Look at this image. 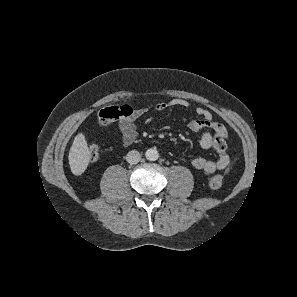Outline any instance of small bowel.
<instances>
[{
	"label": "small bowel",
	"mask_w": 297,
	"mask_h": 297,
	"mask_svg": "<svg viewBox=\"0 0 297 297\" xmlns=\"http://www.w3.org/2000/svg\"><path fill=\"white\" fill-rule=\"evenodd\" d=\"M190 103L187 100L174 98L168 102H159L155 108L158 111L166 110L170 107L187 108ZM195 112L198 118L192 119L188 122L187 127L191 132L203 131L200 138V146L203 150H208L214 145L216 136L221 135L226 137L225 127L213 120L212 114L209 110L203 107H196ZM147 114L146 108H138L133 111V114L128 117L120 118L118 128L121 133V139L124 146L131 145L137 137L136 121ZM152 118L147 116L145 122H151ZM230 164V157L228 154H221L215 161L203 157H196L191 160L193 168L205 173H214L219 170L227 168Z\"/></svg>",
	"instance_id": "c3829d8e"
}]
</instances>
